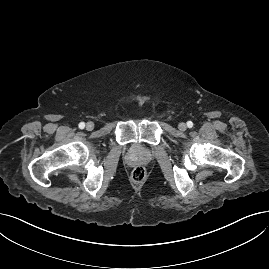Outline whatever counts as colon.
<instances>
[{"mask_svg": "<svg viewBox=\"0 0 269 269\" xmlns=\"http://www.w3.org/2000/svg\"><path fill=\"white\" fill-rule=\"evenodd\" d=\"M147 171L144 166L138 165L135 166L131 172V179L135 183L143 182L146 179Z\"/></svg>", "mask_w": 269, "mask_h": 269, "instance_id": "1", "label": "colon"}]
</instances>
